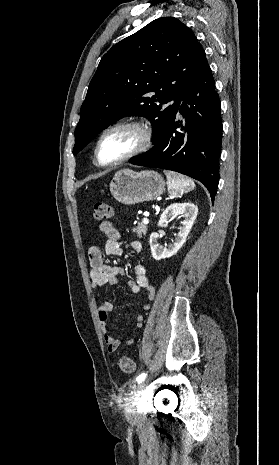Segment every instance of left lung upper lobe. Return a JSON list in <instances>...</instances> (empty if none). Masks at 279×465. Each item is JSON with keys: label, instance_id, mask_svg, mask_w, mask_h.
I'll list each match as a JSON object with an SVG mask.
<instances>
[{"label": "left lung upper lobe", "instance_id": "obj_1", "mask_svg": "<svg viewBox=\"0 0 279 465\" xmlns=\"http://www.w3.org/2000/svg\"><path fill=\"white\" fill-rule=\"evenodd\" d=\"M204 55L192 30L174 17L158 18L114 45L89 84L73 153L128 115L144 116L153 123L156 144L174 121Z\"/></svg>", "mask_w": 279, "mask_h": 465}]
</instances>
